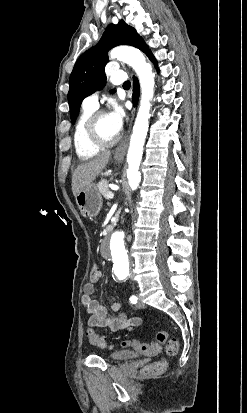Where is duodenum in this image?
Returning <instances> with one entry per match:
<instances>
[{
	"instance_id": "410a0bca",
	"label": "duodenum",
	"mask_w": 247,
	"mask_h": 413,
	"mask_svg": "<svg viewBox=\"0 0 247 413\" xmlns=\"http://www.w3.org/2000/svg\"><path fill=\"white\" fill-rule=\"evenodd\" d=\"M112 229H113V223L107 224V226H106V232L109 233V232L112 231Z\"/></svg>"
}]
</instances>
